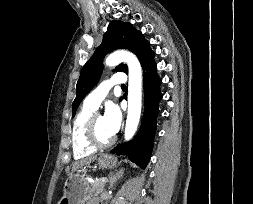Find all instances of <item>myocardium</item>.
Returning a JSON list of instances; mask_svg holds the SVG:
<instances>
[{"label":"myocardium","instance_id":"obj_1","mask_svg":"<svg viewBox=\"0 0 253 204\" xmlns=\"http://www.w3.org/2000/svg\"><path fill=\"white\" fill-rule=\"evenodd\" d=\"M98 115L99 114L94 113L90 117L86 127V138L87 141L90 143V145H92L96 149H103L110 147L115 142L116 138L115 136H112L111 138L105 141L99 139L96 131V118Z\"/></svg>","mask_w":253,"mask_h":204}]
</instances>
